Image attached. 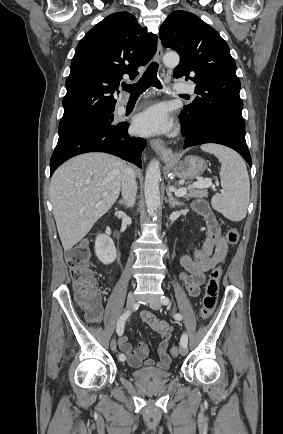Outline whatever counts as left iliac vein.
<instances>
[{"instance_id":"left-iliac-vein-1","label":"left iliac vein","mask_w":283,"mask_h":434,"mask_svg":"<svg viewBox=\"0 0 283 434\" xmlns=\"http://www.w3.org/2000/svg\"><path fill=\"white\" fill-rule=\"evenodd\" d=\"M149 306H150L153 310H159V309L161 308V302L158 301V300H155V301L150 302V303H149ZM187 352H188L187 347H183V346H182L181 349H180V354H181L182 356H185V355L187 354Z\"/></svg>"}]
</instances>
